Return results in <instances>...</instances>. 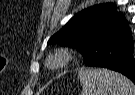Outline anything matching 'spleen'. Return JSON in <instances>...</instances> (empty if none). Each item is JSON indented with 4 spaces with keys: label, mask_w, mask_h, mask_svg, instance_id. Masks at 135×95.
<instances>
[{
    "label": "spleen",
    "mask_w": 135,
    "mask_h": 95,
    "mask_svg": "<svg viewBox=\"0 0 135 95\" xmlns=\"http://www.w3.org/2000/svg\"><path fill=\"white\" fill-rule=\"evenodd\" d=\"M81 95H135V85L125 76L107 69H83L78 72Z\"/></svg>",
    "instance_id": "obj_1"
}]
</instances>
